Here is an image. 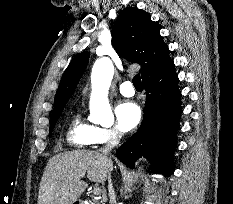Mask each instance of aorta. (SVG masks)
<instances>
[{
	"instance_id": "aorta-1",
	"label": "aorta",
	"mask_w": 233,
	"mask_h": 204,
	"mask_svg": "<svg viewBox=\"0 0 233 204\" xmlns=\"http://www.w3.org/2000/svg\"><path fill=\"white\" fill-rule=\"evenodd\" d=\"M114 75L112 61L103 57L98 59L92 68L90 97V116L91 122L103 126L112 125L114 116L108 100V90Z\"/></svg>"
}]
</instances>
